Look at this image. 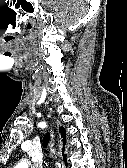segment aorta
I'll return each mask as SVG.
<instances>
[{
	"mask_svg": "<svg viewBox=\"0 0 127 168\" xmlns=\"http://www.w3.org/2000/svg\"><path fill=\"white\" fill-rule=\"evenodd\" d=\"M15 168H28V163L26 161H23L19 163Z\"/></svg>",
	"mask_w": 127,
	"mask_h": 168,
	"instance_id": "obj_1",
	"label": "aorta"
}]
</instances>
